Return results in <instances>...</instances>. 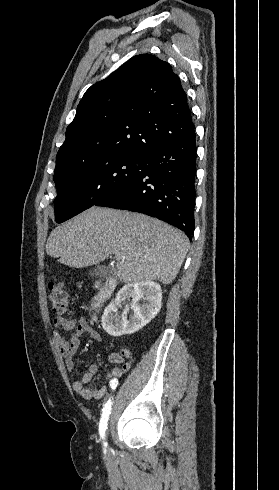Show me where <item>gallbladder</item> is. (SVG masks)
Instances as JSON below:
<instances>
[{
    "mask_svg": "<svg viewBox=\"0 0 279 490\" xmlns=\"http://www.w3.org/2000/svg\"><path fill=\"white\" fill-rule=\"evenodd\" d=\"M111 274V268H105V266H97V268H94V270H90L89 272V276H96L99 282H104V280H106V278H109Z\"/></svg>",
    "mask_w": 279,
    "mask_h": 490,
    "instance_id": "obj_1",
    "label": "gallbladder"
}]
</instances>
